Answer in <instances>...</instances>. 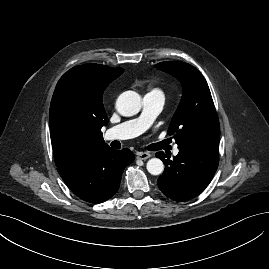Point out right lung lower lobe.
Segmentation results:
<instances>
[{"mask_svg": "<svg viewBox=\"0 0 269 269\" xmlns=\"http://www.w3.org/2000/svg\"><path fill=\"white\" fill-rule=\"evenodd\" d=\"M134 160L129 149L110 147L83 154L57 170L66 185L81 199L102 203L119 189L123 170Z\"/></svg>", "mask_w": 269, "mask_h": 269, "instance_id": "obj_1", "label": "right lung lower lobe"}]
</instances>
